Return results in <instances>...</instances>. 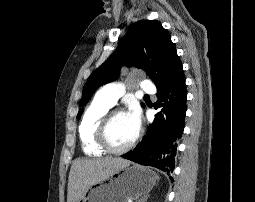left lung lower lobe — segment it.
<instances>
[{"label": "left lung lower lobe", "mask_w": 255, "mask_h": 202, "mask_svg": "<svg viewBox=\"0 0 255 202\" xmlns=\"http://www.w3.org/2000/svg\"><path fill=\"white\" fill-rule=\"evenodd\" d=\"M157 97L155 108H161V110L155 115L143 140L123 158L141 165L156 167L171 175L187 110L184 73L182 72L167 87L158 89Z\"/></svg>", "instance_id": "0a47b994"}]
</instances>
